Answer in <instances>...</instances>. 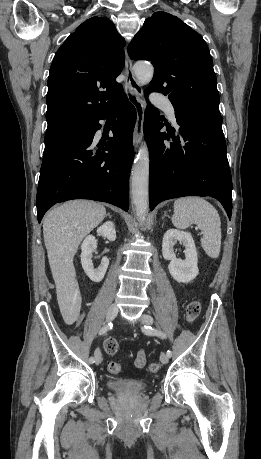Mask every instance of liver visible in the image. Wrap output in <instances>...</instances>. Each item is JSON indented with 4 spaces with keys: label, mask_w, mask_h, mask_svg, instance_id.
Instances as JSON below:
<instances>
[{
    "label": "liver",
    "mask_w": 261,
    "mask_h": 459,
    "mask_svg": "<svg viewBox=\"0 0 261 459\" xmlns=\"http://www.w3.org/2000/svg\"><path fill=\"white\" fill-rule=\"evenodd\" d=\"M103 205L89 200H72L52 209L43 221L44 243L56 285L59 306L75 320L79 291L75 280L74 256L81 241L105 218Z\"/></svg>",
    "instance_id": "obj_1"
}]
</instances>
